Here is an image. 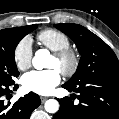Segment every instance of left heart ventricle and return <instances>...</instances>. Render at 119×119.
Segmentation results:
<instances>
[{
	"instance_id": "obj_1",
	"label": "left heart ventricle",
	"mask_w": 119,
	"mask_h": 119,
	"mask_svg": "<svg viewBox=\"0 0 119 119\" xmlns=\"http://www.w3.org/2000/svg\"><path fill=\"white\" fill-rule=\"evenodd\" d=\"M62 64L60 61H58L54 56H52L49 60L48 67L50 68H57L60 70Z\"/></svg>"
}]
</instances>
